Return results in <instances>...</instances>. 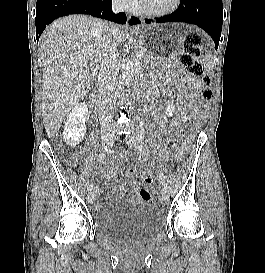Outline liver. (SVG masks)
Returning a JSON list of instances; mask_svg holds the SVG:
<instances>
[{
    "label": "liver",
    "mask_w": 265,
    "mask_h": 273,
    "mask_svg": "<svg viewBox=\"0 0 265 273\" xmlns=\"http://www.w3.org/2000/svg\"><path fill=\"white\" fill-rule=\"evenodd\" d=\"M102 23L86 15H69L55 20L41 36L42 117L49 138L95 81L103 60ZM116 29L118 46L123 33Z\"/></svg>",
    "instance_id": "obj_1"
}]
</instances>
